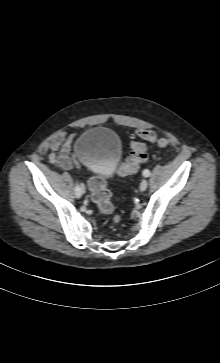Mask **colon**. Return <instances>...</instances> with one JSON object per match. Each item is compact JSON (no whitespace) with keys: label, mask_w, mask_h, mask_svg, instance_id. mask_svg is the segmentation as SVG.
Masks as SVG:
<instances>
[{"label":"colon","mask_w":220,"mask_h":363,"mask_svg":"<svg viewBox=\"0 0 220 363\" xmlns=\"http://www.w3.org/2000/svg\"><path fill=\"white\" fill-rule=\"evenodd\" d=\"M137 139H133L130 143V156L127 161L120 165L118 173L122 176L135 173L140 165L147 160V145L143 141L157 143L160 147H169L173 145V141L169 138H159L151 130H138L136 132ZM88 186L91 197L96 204L99 212L103 215L111 214L114 210L110 200V192L105 181L97 176H92L88 180ZM113 221L119 222V217L114 216Z\"/></svg>","instance_id":"1"}]
</instances>
